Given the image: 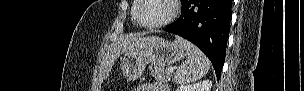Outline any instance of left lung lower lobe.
<instances>
[{
    "label": "left lung lower lobe",
    "instance_id": "left-lung-lower-lobe-1",
    "mask_svg": "<svg viewBox=\"0 0 304 91\" xmlns=\"http://www.w3.org/2000/svg\"><path fill=\"white\" fill-rule=\"evenodd\" d=\"M231 3V0H181L180 18L165 28L198 46L212 62L218 80L229 38Z\"/></svg>",
    "mask_w": 304,
    "mask_h": 91
}]
</instances>
